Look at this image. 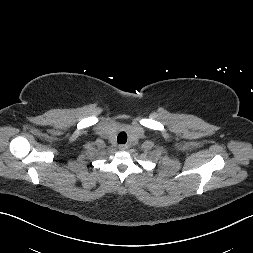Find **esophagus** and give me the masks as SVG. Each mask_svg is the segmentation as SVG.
I'll return each mask as SVG.
<instances>
[{
	"instance_id": "1",
	"label": "esophagus",
	"mask_w": 253,
	"mask_h": 253,
	"mask_svg": "<svg viewBox=\"0 0 253 253\" xmlns=\"http://www.w3.org/2000/svg\"><path fill=\"white\" fill-rule=\"evenodd\" d=\"M119 149H120V150H126V149H127V145L121 144V145L119 146Z\"/></svg>"
}]
</instances>
